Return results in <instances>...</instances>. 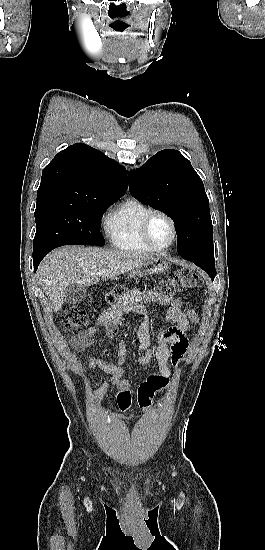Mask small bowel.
Listing matches in <instances>:
<instances>
[{
	"mask_svg": "<svg viewBox=\"0 0 265 550\" xmlns=\"http://www.w3.org/2000/svg\"><path fill=\"white\" fill-rule=\"evenodd\" d=\"M157 303L164 306L167 310L166 319L174 323V326L159 332L158 346L154 350L150 346V324L151 315L143 304ZM130 312L138 313L141 321L137 327L138 356L137 362L140 365L148 364L155 359L159 366V373L167 381V387L170 386L171 363L177 367L183 362L187 351L188 341L187 333L194 318L182 309V302L179 299L163 297L158 292L139 291L132 289L127 291L120 300L101 313L98 317L97 325L89 327L70 339V345L73 349L83 351L92 344L93 337L99 328H103L111 338L116 335V323L123 314ZM68 358L75 359L72 353H68ZM126 362V345L122 339L118 341L117 357L114 362H106L97 357H91L88 360L87 367L92 370L104 372L110 375V380L105 381L97 390L96 399L101 402L111 385L117 388V401L122 411H129L131 408V382L124 379V364Z\"/></svg>",
	"mask_w": 265,
	"mask_h": 550,
	"instance_id": "obj_1",
	"label": "small bowel"
}]
</instances>
